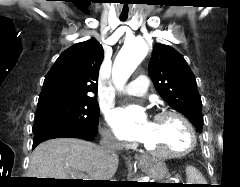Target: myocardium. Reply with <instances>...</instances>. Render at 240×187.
Wrapping results in <instances>:
<instances>
[{"label":"myocardium","mask_w":240,"mask_h":187,"mask_svg":"<svg viewBox=\"0 0 240 187\" xmlns=\"http://www.w3.org/2000/svg\"><path fill=\"white\" fill-rule=\"evenodd\" d=\"M172 116L175 117L184 127L185 132L187 134V145L180 149V150H174V151H154L148 148V146L145 144L144 149L145 151L153 156H156L158 158L162 159H169V158H179L182 156H185L192 152L196 146V133L195 129L192 125V123L189 121V119L180 111L173 110V109H167L162 110L158 112L155 115V120L162 119L164 117Z\"/></svg>","instance_id":"f54148a6"}]
</instances>
